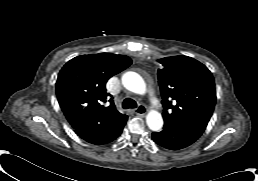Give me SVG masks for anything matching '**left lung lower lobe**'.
<instances>
[{
  "label": "left lung lower lobe",
  "instance_id": "0a47b994",
  "mask_svg": "<svg viewBox=\"0 0 258 181\" xmlns=\"http://www.w3.org/2000/svg\"><path fill=\"white\" fill-rule=\"evenodd\" d=\"M201 134L202 132L182 125L164 123V128L161 132L152 133V139L164 148L178 150L195 142Z\"/></svg>",
  "mask_w": 258,
  "mask_h": 181
}]
</instances>
